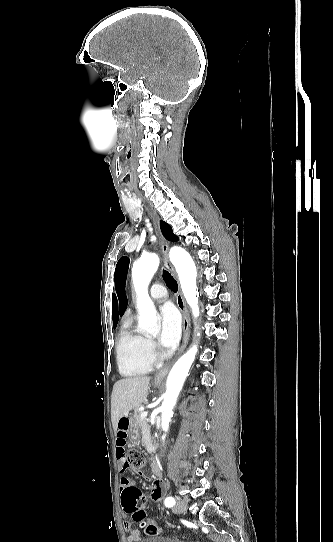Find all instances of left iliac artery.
<instances>
[{
	"label": "left iliac artery",
	"instance_id": "obj_1",
	"mask_svg": "<svg viewBox=\"0 0 333 542\" xmlns=\"http://www.w3.org/2000/svg\"><path fill=\"white\" fill-rule=\"evenodd\" d=\"M164 503L167 507H171L175 504V499L173 497H167Z\"/></svg>",
	"mask_w": 333,
	"mask_h": 542
}]
</instances>
